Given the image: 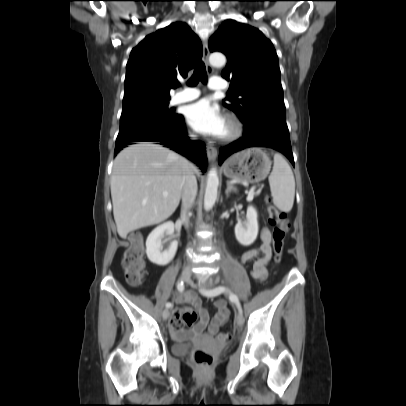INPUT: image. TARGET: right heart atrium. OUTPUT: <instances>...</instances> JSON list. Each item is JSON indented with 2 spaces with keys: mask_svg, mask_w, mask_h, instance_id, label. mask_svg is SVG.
I'll return each mask as SVG.
<instances>
[{
  "mask_svg": "<svg viewBox=\"0 0 406 406\" xmlns=\"http://www.w3.org/2000/svg\"><path fill=\"white\" fill-rule=\"evenodd\" d=\"M189 135H190V137H194V135L192 133H190Z\"/></svg>",
  "mask_w": 406,
  "mask_h": 406,
  "instance_id": "obj_1",
  "label": "right heart atrium"
}]
</instances>
